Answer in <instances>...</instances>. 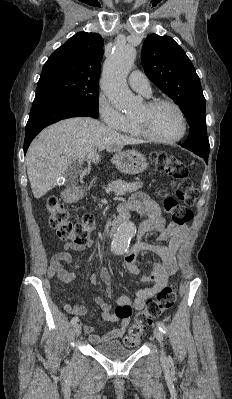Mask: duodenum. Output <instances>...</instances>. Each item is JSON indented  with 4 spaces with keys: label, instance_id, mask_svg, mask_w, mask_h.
I'll list each match as a JSON object with an SVG mask.
<instances>
[{
    "label": "duodenum",
    "instance_id": "410a0bca",
    "mask_svg": "<svg viewBox=\"0 0 232 399\" xmlns=\"http://www.w3.org/2000/svg\"><path fill=\"white\" fill-rule=\"evenodd\" d=\"M85 190L82 186H75L70 189H67L64 194V198L68 202L77 201L83 197ZM125 220L124 216L118 217L112 224L110 228V234L114 233L116 229L123 223Z\"/></svg>",
    "mask_w": 232,
    "mask_h": 399
}]
</instances>
